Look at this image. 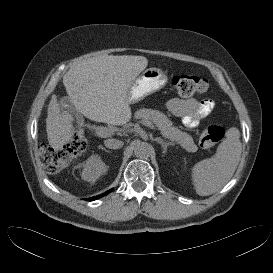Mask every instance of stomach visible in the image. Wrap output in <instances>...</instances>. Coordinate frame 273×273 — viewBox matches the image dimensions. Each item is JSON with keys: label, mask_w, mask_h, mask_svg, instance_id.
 I'll list each match as a JSON object with an SVG mask.
<instances>
[{"label": "stomach", "mask_w": 273, "mask_h": 273, "mask_svg": "<svg viewBox=\"0 0 273 273\" xmlns=\"http://www.w3.org/2000/svg\"><path fill=\"white\" fill-rule=\"evenodd\" d=\"M167 80V75L162 69L156 67L146 69L129 86L128 103H137L160 90L166 85Z\"/></svg>", "instance_id": "1"}]
</instances>
